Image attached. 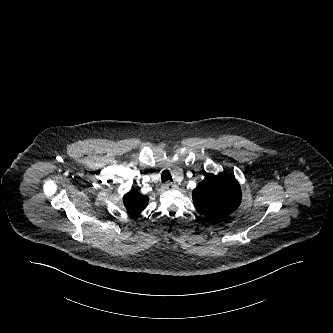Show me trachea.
I'll return each instance as SVG.
<instances>
[{"mask_svg":"<svg viewBox=\"0 0 333 333\" xmlns=\"http://www.w3.org/2000/svg\"><path fill=\"white\" fill-rule=\"evenodd\" d=\"M161 180L163 183L166 181H173L171 173L168 170L163 171L161 174Z\"/></svg>","mask_w":333,"mask_h":333,"instance_id":"1","label":"trachea"}]
</instances>
